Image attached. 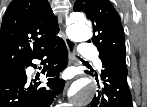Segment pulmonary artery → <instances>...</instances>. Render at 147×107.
I'll return each instance as SVG.
<instances>
[{
	"label": "pulmonary artery",
	"mask_w": 147,
	"mask_h": 107,
	"mask_svg": "<svg viewBox=\"0 0 147 107\" xmlns=\"http://www.w3.org/2000/svg\"><path fill=\"white\" fill-rule=\"evenodd\" d=\"M79 52L83 56L94 58V62H95L96 67L99 69L102 68V63L97 58L96 49L93 46L86 44V43H81L80 48H79Z\"/></svg>",
	"instance_id": "e3ab8cb5"
}]
</instances>
